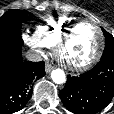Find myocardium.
Segmentation results:
<instances>
[{
    "instance_id": "1",
    "label": "myocardium",
    "mask_w": 114,
    "mask_h": 114,
    "mask_svg": "<svg viewBox=\"0 0 114 114\" xmlns=\"http://www.w3.org/2000/svg\"><path fill=\"white\" fill-rule=\"evenodd\" d=\"M83 23H90L96 29L97 34H98V39H99L98 46H97L95 53L87 61L82 62V63H73L69 61L68 59H66V57L64 56V49L66 45L68 44V42L70 41V39L72 38L77 27ZM104 45H105L104 34L99 24L96 23L94 20L84 18V19H80V20L73 22L66 29V31L60 37L59 41L57 42L55 46V55L58 61L65 67L74 71H84V70L91 68L95 63L99 61L103 53Z\"/></svg>"
}]
</instances>
